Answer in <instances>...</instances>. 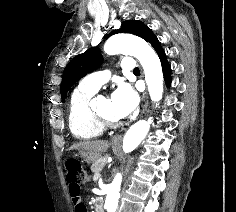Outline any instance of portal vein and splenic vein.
Segmentation results:
<instances>
[{
    "label": "portal vein and splenic vein",
    "instance_id": "obj_1",
    "mask_svg": "<svg viewBox=\"0 0 236 212\" xmlns=\"http://www.w3.org/2000/svg\"><path fill=\"white\" fill-rule=\"evenodd\" d=\"M99 177H100V176H94V179H96V180H97Z\"/></svg>",
    "mask_w": 236,
    "mask_h": 212
}]
</instances>
